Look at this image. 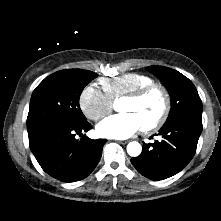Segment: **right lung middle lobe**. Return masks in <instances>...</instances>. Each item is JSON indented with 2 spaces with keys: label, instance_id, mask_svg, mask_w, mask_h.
Returning <instances> with one entry per match:
<instances>
[{
  "label": "right lung middle lobe",
  "instance_id": "right-lung-middle-lobe-1",
  "mask_svg": "<svg viewBox=\"0 0 221 221\" xmlns=\"http://www.w3.org/2000/svg\"><path fill=\"white\" fill-rule=\"evenodd\" d=\"M96 76L89 70L66 69L45 78L31 97L28 131L52 120L86 121L79 106V98L84 87Z\"/></svg>",
  "mask_w": 221,
  "mask_h": 221
}]
</instances>
